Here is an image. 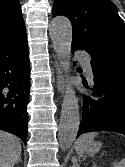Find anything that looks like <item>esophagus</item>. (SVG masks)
Here are the masks:
<instances>
[{
  "mask_svg": "<svg viewBox=\"0 0 125 167\" xmlns=\"http://www.w3.org/2000/svg\"><path fill=\"white\" fill-rule=\"evenodd\" d=\"M55 66H56V71H57V90L59 94L62 95L64 92V80H63L61 68L56 58H55Z\"/></svg>",
  "mask_w": 125,
  "mask_h": 167,
  "instance_id": "34e87169",
  "label": "esophagus"
}]
</instances>
